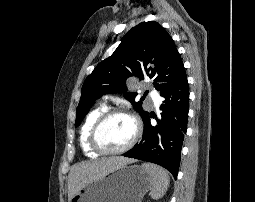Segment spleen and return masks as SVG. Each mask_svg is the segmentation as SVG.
I'll return each mask as SVG.
<instances>
[{
	"label": "spleen",
	"mask_w": 255,
	"mask_h": 202,
	"mask_svg": "<svg viewBox=\"0 0 255 202\" xmlns=\"http://www.w3.org/2000/svg\"><path fill=\"white\" fill-rule=\"evenodd\" d=\"M142 168L151 176L152 178V191L151 197L153 199H160L166 193L170 178L168 172L160 166L144 163Z\"/></svg>",
	"instance_id": "1"
}]
</instances>
